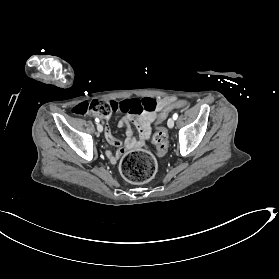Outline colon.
Instances as JSON below:
<instances>
[{"label": "colon", "instance_id": "1", "mask_svg": "<svg viewBox=\"0 0 279 279\" xmlns=\"http://www.w3.org/2000/svg\"><path fill=\"white\" fill-rule=\"evenodd\" d=\"M187 106V102H168L158 117V124L164 121L175 109ZM157 108V101L152 98L130 99L112 101L95 99L91 102L76 105L72 112L76 115L94 114L101 118H107L113 111H121L132 115H140L144 112H153ZM156 154L163 156L168 148L167 130L158 125L152 137ZM157 170L156 160L152 153L143 150H133L125 154L120 163L122 176L134 184H142L150 181Z\"/></svg>", "mask_w": 279, "mask_h": 279}]
</instances>
